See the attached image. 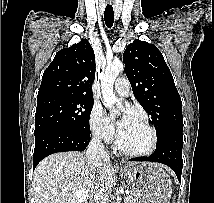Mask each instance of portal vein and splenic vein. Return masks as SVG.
I'll return each instance as SVG.
<instances>
[{"instance_id":"obj_1","label":"portal vein and splenic vein","mask_w":214,"mask_h":203,"mask_svg":"<svg viewBox=\"0 0 214 203\" xmlns=\"http://www.w3.org/2000/svg\"><path fill=\"white\" fill-rule=\"evenodd\" d=\"M76 195H77L79 198L83 199V200H86V199H87V192H86L85 190H79V191H77V192H76ZM128 201H129V198H126V202H127V203H128Z\"/></svg>"}]
</instances>
